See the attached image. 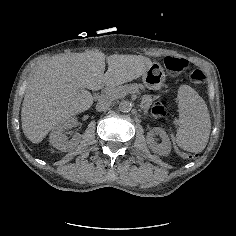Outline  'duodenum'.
<instances>
[{"label":"duodenum","mask_w":236,"mask_h":236,"mask_svg":"<svg viewBox=\"0 0 236 236\" xmlns=\"http://www.w3.org/2000/svg\"><path fill=\"white\" fill-rule=\"evenodd\" d=\"M109 86H110V84H108V83H104V84L102 85V90H106V89H108Z\"/></svg>","instance_id":"1"}]
</instances>
